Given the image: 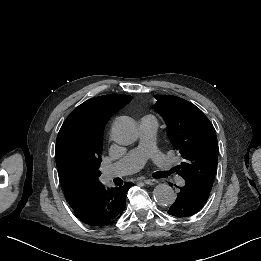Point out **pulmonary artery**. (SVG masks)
I'll return each mask as SVG.
<instances>
[{"label":"pulmonary artery","mask_w":261,"mask_h":261,"mask_svg":"<svg viewBox=\"0 0 261 261\" xmlns=\"http://www.w3.org/2000/svg\"><path fill=\"white\" fill-rule=\"evenodd\" d=\"M157 121L151 117H143L139 120V134L141 144L126 154L121 160L103 170V178L108 181L112 178L126 175L142 167L146 153L154 144L157 133Z\"/></svg>","instance_id":"pulmonary-artery-1"}]
</instances>
